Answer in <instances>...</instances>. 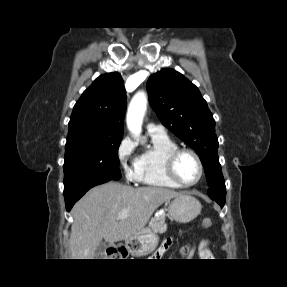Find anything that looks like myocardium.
<instances>
[{
	"mask_svg": "<svg viewBox=\"0 0 287 287\" xmlns=\"http://www.w3.org/2000/svg\"><path fill=\"white\" fill-rule=\"evenodd\" d=\"M182 154H189L191 156L194 157V159L196 160L198 167H199V176L198 178L190 184H185L183 183L176 172V162L178 160V158L182 155ZM165 167H166V172L168 174V176L179 186L182 188H190V187H194L196 186L201 179L203 178L204 175V165L203 162L200 158V156L192 149L190 148H176L174 150H172L171 152H169L166 156L165 159Z\"/></svg>",
	"mask_w": 287,
	"mask_h": 287,
	"instance_id": "obj_1",
	"label": "myocardium"
}]
</instances>
